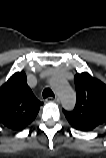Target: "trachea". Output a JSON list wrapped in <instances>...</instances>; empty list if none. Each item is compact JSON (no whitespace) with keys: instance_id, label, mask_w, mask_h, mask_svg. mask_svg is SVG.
I'll return each mask as SVG.
<instances>
[{"instance_id":"trachea-1","label":"trachea","mask_w":106,"mask_h":158,"mask_svg":"<svg viewBox=\"0 0 106 158\" xmlns=\"http://www.w3.org/2000/svg\"><path fill=\"white\" fill-rule=\"evenodd\" d=\"M42 96L44 99L47 97H54V93L52 92V90L50 88H46V89H44Z\"/></svg>"}]
</instances>
